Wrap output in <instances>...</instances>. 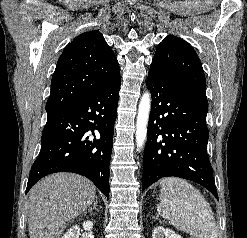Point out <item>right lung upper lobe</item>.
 Wrapping results in <instances>:
<instances>
[{
    "label": "right lung upper lobe",
    "instance_id": "1",
    "mask_svg": "<svg viewBox=\"0 0 247 238\" xmlns=\"http://www.w3.org/2000/svg\"><path fill=\"white\" fill-rule=\"evenodd\" d=\"M119 73L117 58L99 31L77 36L59 57L46 105L48 117L88 97Z\"/></svg>",
    "mask_w": 247,
    "mask_h": 238
}]
</instances>
